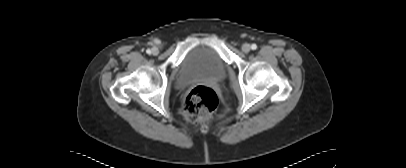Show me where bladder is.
<instances>
[{
    "mask_svg": "<svg viewBox=\"0 0 406 168\" xmlns=\"http://www.w3.org/2000/svg\"><path fill=\"white\" fill-rule=\"evenodd\" d=\"M226 76V65L212 48L199 46L190 50L181 62L176 85L185 87L195 81H219Z\"/></svg>",
    "mask_w": 406,
    "mask_h": 168,
    "instance_id": "1",
    "label": "bladder"
}]
</instances>
